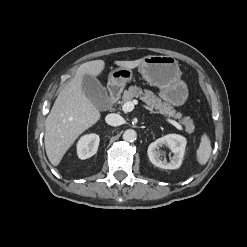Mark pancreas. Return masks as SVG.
<instances>
[{
  "label": "pancreas",
  "instance_id": "obj_1",
  "mask_svg": "<svg viewBox=\"0 0 247 247\" xmlns=\"http://www.w3.org/2000/svg\"><path fill=\"white\" fill-rule=\"evenodd\" d=\"M134 98H140L143 102L149 105L151 108L156 109L163 115H167L169 117H173L175 119H181L182 114L177 113L174 108L168 104L162 102L159 97H156L154 93L150 90L137 87V86H130L128 90H125L122 96V102L126 103L132 101ZM181 123L185 125L186 131L188 133H192L194 131V124L193 120L189 117H185L181 119Z\"/></svg>",
  "mask_w": 247,
  "mask_h": 247
}]
</instances>
